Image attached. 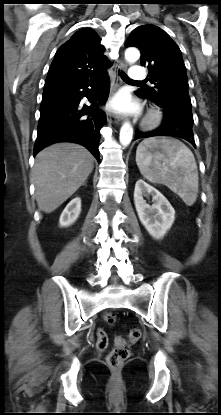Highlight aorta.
Here are the masks:
<instances>
[{
    "mask_svg": "<svg viewBox=\"0 0 221 415\" xmlns=\"http://www.w3.org/2000/svg\"><path fill=\"white\" fill-rule=\"evenodd\" d=\"M140 57V52L135 47H129L125 51V59L129 63H134ZM133 137V127L129 122H125L120 129V143L123 146L130 144Z\"/></svg>",
    "mask_w": 221,
    "mask_h": 415,
    "instance_id": "762f6f07",
    "label": "aorta"
}]
</instances>
